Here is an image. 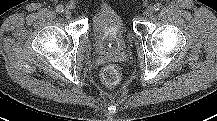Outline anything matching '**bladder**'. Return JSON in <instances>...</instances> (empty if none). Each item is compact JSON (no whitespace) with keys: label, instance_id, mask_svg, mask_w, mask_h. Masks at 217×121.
<instances>
[{"label":"bladder","instance_id":"bladder-1","mask_svg":"<svg viewBox=\"0 0 217 121\" xmlns=\"http://www.w3.org/2000/svg\"><path fill=\"white\" fill-rule=\"evenodd\" d=\"M92 32L103 52L114 54L124 50L126 28L114 9L104 8L95 14Z\"/></svg>","mask_w":217,"mask_h":121}]
</instances>
